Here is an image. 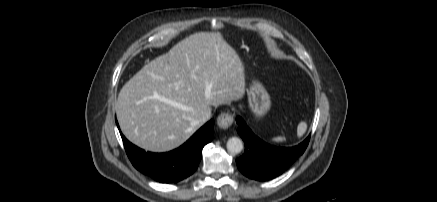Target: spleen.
Instances as JSON below:
<instances>
[{"label":"spleen","mask_w":437,"mask_h":202,"mask_svg":"<svg viewBox=\"0 0 437 202\" xmlns=\"http://www.w3.org/2000/svg\"><path fill=\"white\" fill-rule=\"evenodd\" d=\"M307 129V124L305 122H300L297 127V135L301 137ZM286 138L282 136H278L272 139L273 142H283Z\"/></svg>","instance_id":"1"}]
</instances>
